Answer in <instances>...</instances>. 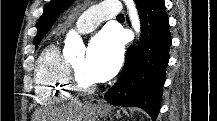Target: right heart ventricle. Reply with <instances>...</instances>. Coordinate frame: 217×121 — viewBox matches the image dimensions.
I'll return each instance as SVG.
<instances>
[{
  "instance_id": "1",
  "label": "right heart ventricle",
  "mask_w": 217,
  "mask_h": 121,
  "mask_svg": "<svg viewBox=\"0 0 217 121\" xmlns=\"http://www.w3.org/2000/svg\"><path fill=\"white\" fill-rule=\"evenodd\" d=\"M35 93L41 104H54L72 95L68 82V62L58 44L48 45L40 54L35 68Z\"/></svg>"
}]
</instances>
